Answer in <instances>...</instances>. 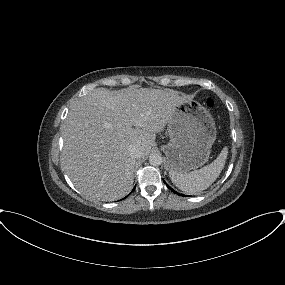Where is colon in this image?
<instances>
[{
  "label": "colon",
  "mask_w": 285,
  "mask_h": 285,
  "mask_svg": "<svg viewBox=\"0 0 285 285\" xmlns=\"http://www.w3.org/2000/svg\"><path fill=\"white\" fill-rule=\"evenodd\" d=\"M206 105H207L208 107H211V106L213 105V100H212L211 98H208V99L206 100Z\"/></svg>",
  "instance_id": "colon-1"
}]
</instances>
